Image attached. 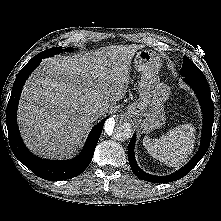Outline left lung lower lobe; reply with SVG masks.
<instances>
[{
    "mask_svg": "<svg viewBox=\"0 0 221 221\" xmlns=\"http://www.w3.org/2000/svg\"><path fill=\"white\" fill-rule=\"evenodd\" d=\"M184 81L195 91L203 113V129L200 148L196 155L189 161V163H187L184 167H182L180 170L176 171L172 175L162 177L153 176L141 170L136 163L134 157L136 135L134 134L128 146V160L134 174L142 180L154 183H167L179 180L187 175V173H189V171L195 167V165L201 160V158L208 150L211 141L212 125L214 120V104L211 99L208 82L205 76H185Z\"/></svg>",
    "mask_w": 221,
    "mask_h": 221,
    "instance_id": "obj_1",
    "label": "left lung lower lobe"
}]
</instances>
